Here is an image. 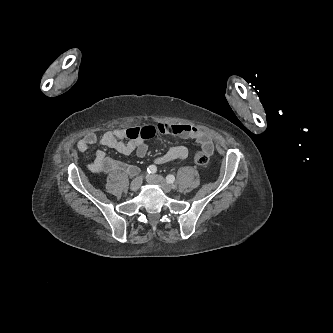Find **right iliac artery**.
I'll use <instances>...</instances> for the list:
<instances>
[{
    "instance_id": "82829eb1",
    "label": "right iliac artery",
    "mask_w": 333,
    "mask_h": 333,
    "mask_svg": "<svg viewBox=\"0 0 333 333\" xmlns=\"http://www.w3.org/2000/svg\"><path fill=\"white\" fill-rule=\"evenodd\" d=\"M156 171H157V168H156L155 165H150V166L147 168V172H148L149 174H153V173H155Z\"/></svg>"
}]
</instances>
